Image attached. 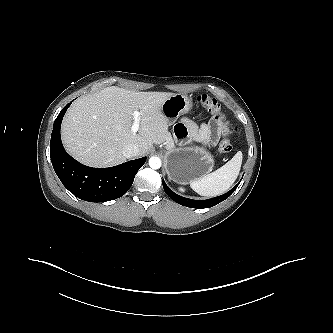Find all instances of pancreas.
<instances>
[{
    "instance_id": "obj_1",
    "label": "pancreas",
    "mask_w": 333,
    "mask_h": 333,
    "mask_svg": "<svg viewBox=\"0 0 333 333\" xmlns=\"http://www.w3.org/2000/svg\"><path fill=\"white\" fill-rule=\"evenodd\" d=\"M165 144H166V149L167 150H173L174 149V141L170 136H168L165 139Z\"/></svg>"
}]
</instances>
